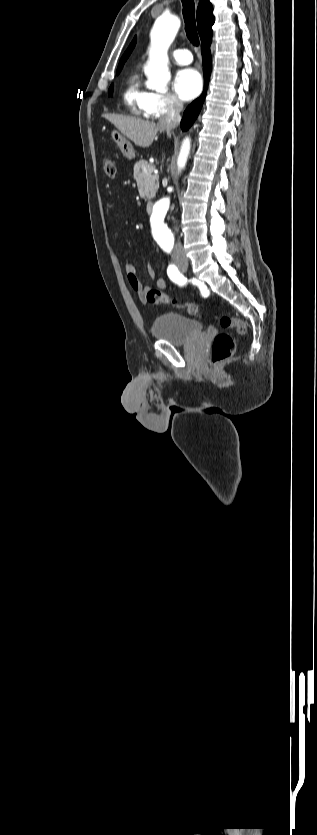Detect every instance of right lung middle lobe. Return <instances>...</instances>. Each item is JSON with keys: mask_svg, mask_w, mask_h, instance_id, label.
I'll return each instance as SVG.
<instances>
[{"mask_svg": "<svg viewBox=\"0 0 317 835\" xmlns=\"http://www.w3.org/2000/svg\"><path fill=\"white\" fill-rule=\"evenodd\" d=\"M122 67H123V64L118 65L117 74L121 71ZM112 93H113V87L111 85V87L109 88V91H108V95L112 96Z\"/></svg>", "mask_w": 317, "mask_h": 835, "instance_id": "1", "label": "right lung middle lobe"}]
</instances>
